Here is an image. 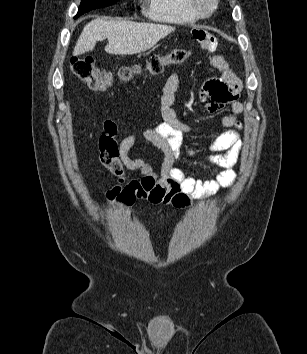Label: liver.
I'll return each mask as SVG.
<instances>
[{
  "mask_svg": "<svg viewBox=\"0 0 307 354\" xmlns=\"http://www.w3.org/2000/svg\"><path fill=\"white\" fill-rule=\"evenodd\" d=\"M175 27L137 23L126 20L106 21L97 18L89 22L80 34L73 55L92 51L97 41L108 39L105 51L113 55H132L149 50L161 39L173 32Z\"/></svg>",
  "mask_w": 307,
  "mask_h": 354,
  "instance_id": "6515ba94",
  "label": "liver"
}]
</instances>
